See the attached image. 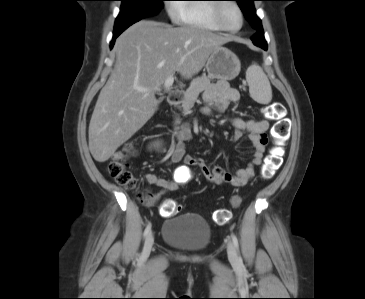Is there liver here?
<instances>
[{
	"mask_svg": "<svg viewBox=\"0 0 365 299\" xmlns=\"http://www.w3.org/2000/svg\"><path fill=\"white\" fill-rule=\"evenodd\" d=\"M231 37L195 26L139 21L115 45L116 63L102 88L89 124V150L106 162L154 115L165 80L179 72L190 79L210 54ZM139 89H147L141 92Z\"/></svg>",
	"mask_w": 365,
	"mask_h": 299,
	"instance_id": "6515ba94",
	"label": "liver"
}]
</instances>
